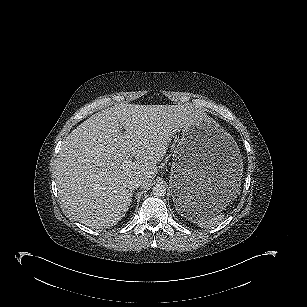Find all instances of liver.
Instances as JSON below:
<instances>
[{"label": "liver", "instance_id": "obj_1", "mask_svg": "<svg viewBox=\"0 0 307 307\" xmlns=\"http://www.w3.org/2000/svg\"><path fill=\"white\" fill-rule=\"evenodd\" d=\"M194 114L180 105L120 103L89 117L62 142L56 159L63 208L91 228L116 225L132 202L128 181L138 178L142 188L150 187L174 129Z\"/></svg>", "mask_w": 307, "mask_h": 307}]
</instances>
